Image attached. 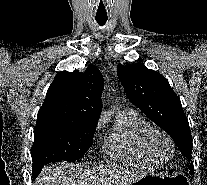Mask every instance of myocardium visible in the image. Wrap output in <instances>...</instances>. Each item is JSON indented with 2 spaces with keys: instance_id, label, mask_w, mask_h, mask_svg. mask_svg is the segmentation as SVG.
<instances>
[{
  "instance_id": "1",
  "label": "myocardium",
  "mask_w": 207,
  "mask_h": 185,
  "mask_svg": "<svg viewBox=\"0 0 207 185\" xmlns=\"http://www.w3.org/2000/svg\"><path fill=\"white\" fill-rule=\"evenodd\" d=\"M156 137H162L164 138L166 141H168L172 147V153L171 156L166 158L163 157L159 151L157 150L156 146H155V139ZM145 145L148 149V151L158 160L161 162H169L170 160H172L176 154V144L174 142V140L172 139V137L164 130L160 129V128H151L145 136Z\"/></svg>"
}]
</instances>
